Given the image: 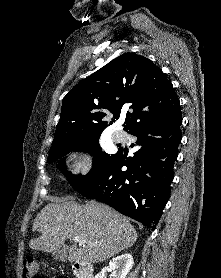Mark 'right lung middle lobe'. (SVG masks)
I'll return each instance as SVG.
<instances>
[{
  "label": "right lung middle lobe",
  "instance_id": "right-lung-middle-lobe-1",
  "mask_svg": "<svg viewBox=\"0 0 221 278\" xmlns=\"http://www.w3.org/2000/svg\"><path fill=\"white\" fill-rule=\"evenodd\" d=\"M99 137L100 135L89 136L71 144L58 146L54 149H51L49 152L48 163L54 162L64 157L71 151H83L94 155L92 169L85 176L72 175L66 170L64 159H60L57 167L63 174L66 175L67 179L75 190H78L92 182L116 156V154L109 155L102 152V149L98 143Z\"/></svg>",
  "mask_w": 221,
  "mask_h": 278
}]
</instances>
